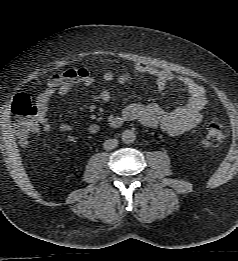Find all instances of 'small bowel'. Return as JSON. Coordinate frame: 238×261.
<instances>
[{
  "label": "small bowel",
  "mask_w": 238,
  "mask_h": 261,
  "mask_svg": "<svg viewBox=\"0 0 238 261\" xmlns=\"http://www.w3.org/2000/svg\"><path fill=\"white\" fill-rule=\"evenodd\" d=\"M137 74L152 77L155 80L158 90H163L170 82L177 81L189 94L187 102L175 110L165 111L157 103H132L126 106L119 114L110 115L108 123L113 128H118L126 122L137 121L149 128L160 129L170 136L181 135L195 126L203 118V110L207 105L206 91L202 85L190 77L177 75L168 70H160L149 64L138 62L134 66ZM132 74L124 73L115 78L112 72L103 75L105 83L117 82L119 84L127 82ZM83 83L92 86L94 79L89 70L80 68V73L74 76H55L37 97L36 107L38 110L37 120L39 127L46 133H52L53 129L48 122L47 114L49 105L55 95L65 96L75 85ZM94 99L102 104L110 101L111 93L108 88H103L93 95ZM61 132L68 133L72 130V125L62 123L59 127ZM100 129L97 123L88 125L87 130L91 134H96Z\"/></svg>",
  "instance_id": "1"
}]
</instances>
